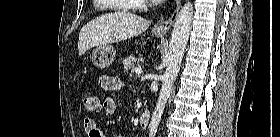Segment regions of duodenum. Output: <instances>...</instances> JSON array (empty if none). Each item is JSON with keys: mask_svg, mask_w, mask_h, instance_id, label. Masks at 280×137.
I'll return each mask as SVG.
<instances>
[{"mask_svg": "<svg viewBox=\"0 0 280 137\" xmlns=\"http://www.w3.org/2000/svg\"><path fill=\"white\" fill-rule=\"evenodd\" d=\"M151 120V114L148 110L143 111L139 116V126L142 129H146L149 126Z\"/></svg>", "mask_w": 280, "mask_h": 137, "instance_id": "410a0bca", "label": "duodenum"}]
</instances>
